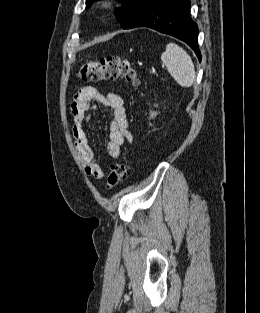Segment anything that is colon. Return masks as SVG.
Segmentation results:
<instances>
[{"label":"colon","mask_w":260,"mask_h":313,"mask_svg":"<svg viewBox=\"0 0 260 313\" xmlns=\"http://www.w3.org/2000/svg\"><path fill=\"white\" fill-rule=\"evenodd\" d=\"M79 79L88 82L102 80L125 81L134 86L140 84L135 66L127 59L110 56L84 63L78 70ZM129 176V167L125 163H115L107 177L106 189L111 190Z\"/></svg>","instance_id":"colon-1"}]
</instances>
